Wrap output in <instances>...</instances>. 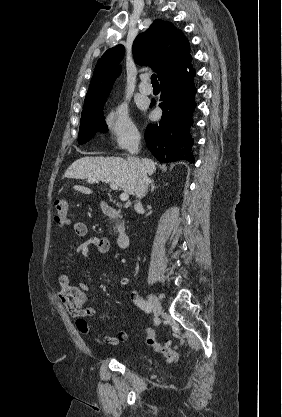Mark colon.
<instances>
[{
  "instance_id": "colon-1",
  "label": "colon",
  "mask_w": 282,
  "mask_h": 417,
  "mask_svg": "<svg viewBox=\"0 0 282 417\" xmlns=\"http://www.w3.org/2000/svg\"><path fill=\"white\" fill-rule=\"evenodd\" d=\"M70 206L66 199L58 198L54 203V218L59 225H65L69 222ZM147 345L152 347L155 352L163 355L169 363H177L179 361V353L171 342L160 343L157 340L156 330L154 328L147 329L146 337Z\"/></svg>"
}]
</instances>
